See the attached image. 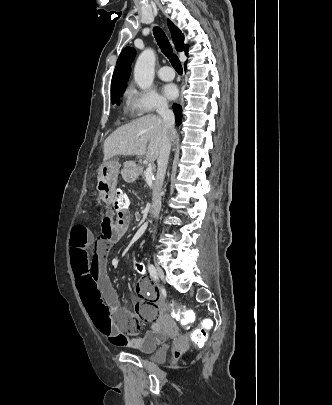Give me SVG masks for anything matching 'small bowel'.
Wrapping results in <instances>:
<instances>
[{"instance_id":"c3829d8e","label":"small bowel","mask_w":332,"mask_h":405,"mask_svg":"<svg viewBox=\"0 0 332 405\" xmlns=\"http://www.w3.org/2000/svg\"><path fill=\"white\" fill-rule=\"evenodd\" d=\"M125 167L136 169V164L127 161ZM99 171L98 194L100 201L106 205L101 235L96 238L86 226L75 225L69 239L70 266L78 299L84 305L91 326H95L111 344L133 349H156L157 344L164 342L162 326L166 310L159 291L147 279H140L134 287V312H130L119 306L116 291L107 274V255L125 235L131 213L129 210L111 212L109 208L115 195L113 183L118 181L119 165L116 160L106 159L104 164H100ZM120 213L124 214L123 218L119 217ZM93 246L95 251L91 254ZM143 322H150V329L143 336L136 337Z\"/></svg>"}]
</instances>
